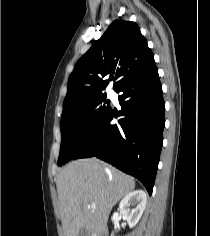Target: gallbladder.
Here are the masks:
<instances>
[{"label":"gallbladder","instance_id":"bac80fb5","mask_svg":"<svg viewBox=\"0 0 210 236\" xmlns=\"http://www.w3.org/2000/svg\"><path fill=\"white\" fill-rule=\"evenodd\" d=\"M78 236H88L86 228H82L79 232Z\"/></svg>","mask_w":210,"mask_h":236}]
</instances>
